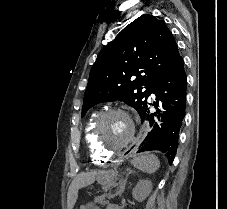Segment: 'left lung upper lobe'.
<instances>
[{
  "label": "left lung upper lobe",
  "mask_w": 227,
  "mask_h": 209,
  "mask_svg": "<svg viewBox=\"0 0 227 209\" xmlns=\"http://www.w3.org/2000/svg\"><path fill=\"white\" fill-rule=\"evenodd\" d=\"M179 56L167 25L155 16H140L100 51L90 72L81 116L97 103L114 100L129 104L140 115Z\"/></svg>",
  "instance_id": "left-lung-upper-lobe-1"
}]
</instances>
